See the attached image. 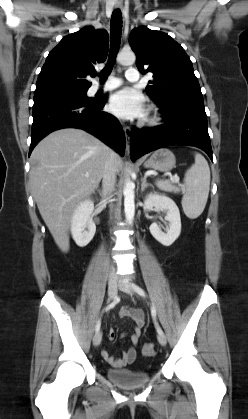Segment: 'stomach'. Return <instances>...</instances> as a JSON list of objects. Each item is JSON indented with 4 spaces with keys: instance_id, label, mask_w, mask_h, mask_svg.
<instances>
[{
    "instance_id": "1",
    "label": "stomach",
    "mask_w": 248,
    "mask_h": 419,
    "mask_svg": "<svg viewBox=\"0 0 248 419\" xmlns=\"http://www.w3.org/2000/svg\"><path fill=\"white\" fill-rule=\"evenodd\" d=\"M176 160L174 154L166 148L156 150L148 160L144 162L145 168H151L159 171H170L175 166Z\"/></svg>"
}]
</instances>
